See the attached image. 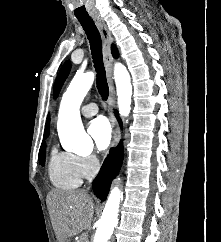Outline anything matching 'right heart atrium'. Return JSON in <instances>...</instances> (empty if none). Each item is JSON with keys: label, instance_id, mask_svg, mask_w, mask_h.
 Returning a JSON list of instances; mask_svg holds the SVG:
<instances>
[{"label": "right heart atrium", "instance_id": "obj_1", "mask_svg": "<svg viewBox=\"0 0 221 242\" xmlns=\"http://www.w3.org/2000/svg\"><path fill=\"white\" fill-rule=\"evenodd\" d=\"M75 163L81 178L93 175L99 168V160L93 154L77 155Z\"/></svg>", "mask_w": 221, "mask_h": 242}]
</instances>
